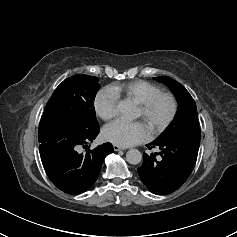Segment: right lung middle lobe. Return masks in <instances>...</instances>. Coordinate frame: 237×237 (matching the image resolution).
I'll return each instance as SVG.
<instances>
[{"label":"right lung middle lobe","instance_id":"right-lung-middle-lobe-1","mask_svg":"<svg viewBox=\"0 0 237 237\" xmlns=\"http://www.w3.org/2000/svg\"><path fill=\"white\" fill-rule=\"evenodd\" d=\"M97 77L77 74L64 80L46 104L40 123H55L76 133L99 129L94 109Z\"/></svg>","mask_w":237,"mask_h":237}]
</instances>
